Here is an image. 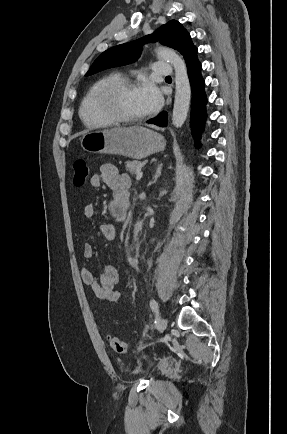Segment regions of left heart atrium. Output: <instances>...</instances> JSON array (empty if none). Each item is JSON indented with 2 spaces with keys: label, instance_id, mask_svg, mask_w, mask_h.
Wrapping results in <instances>:
<instances>
[{
  "label": "left heart atrium",
  "instance_id": "left-heart-atrium-1",
  "mask_svg": "<svg viewBox=\"0 0 287 434\" xmlns=\"http://www.w3.org/2000/svg\"><path fill=\"white\" fill-rule=\"evenodd\" d=\"M138 94L147 113L157 111L163 101L158 87L152 82H144L138 87Z\"/></svg>",
  "mask_w": 287,
  "mask_h": 434
}]
</instances>
